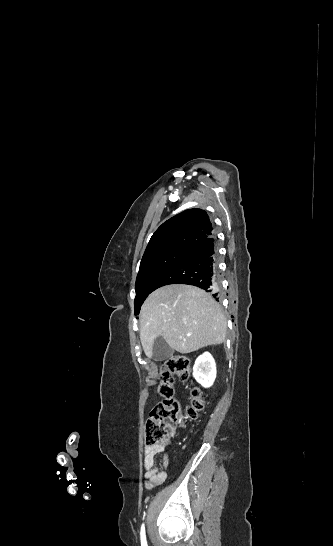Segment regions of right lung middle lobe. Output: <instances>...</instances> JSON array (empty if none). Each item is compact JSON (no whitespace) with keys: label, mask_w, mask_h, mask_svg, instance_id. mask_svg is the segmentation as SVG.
Returning <instances> with one entry per match:
<instances>
[{"label":"right lung middle lobe","mask_w":333,"mask_h":546,"mask_svg":"<svg viewBox=\"0 0 333 546\" xmlns=\"http://www.w3.org/2000/svg\"><path fill=\"white\" fill-rule=\"evenodd\" d=\"M190 249L187 247H172L141 260L135 286V314H138L146 297L156 289L159 279Z\"/></svg>","instance_id":"dd1d6c3e"}]
</instances>
